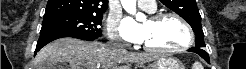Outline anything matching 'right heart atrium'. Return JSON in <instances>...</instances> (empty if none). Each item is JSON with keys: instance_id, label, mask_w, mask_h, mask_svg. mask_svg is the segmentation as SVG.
Segmentation results:
<instances>
[{"instance_id": "obj_1", "label": "right heart atrium", "mask_w": 246, "mask_h": 69, "mask_svg": "<svg viewBox=\"0 0 246 69\" xmlns=\"http://www.w3.org/2000/svg\"><path fill=\"white\" fill-rule=\"evenodd\" d=\"M118 21H119L118 16H111L108 20V23H107L108 37L114 41L119 39V33L117 30Z\"/></svg>"}]
</instances>
